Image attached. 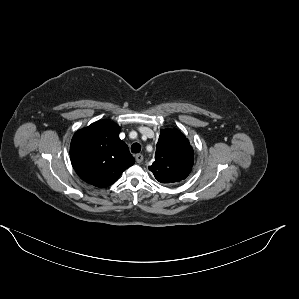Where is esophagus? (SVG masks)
Segmentation results:
<instances>
[{
	"mask_svg": "<svg viewBox=\"0 0 299 299\" xmlns=\"http://www.w3.org/2000/svg\"><path fill=\"white\" fill-rule=\"evenodd\" d=\"M135 160L137 163H141L143 161V155L142 154H137L135 156Z\"/></svg>",
	"mask_w": 299,
	"mask_h": 299,
	"instance_id": "34e87169",
	"label": "esophagus"
}]
</instances>
